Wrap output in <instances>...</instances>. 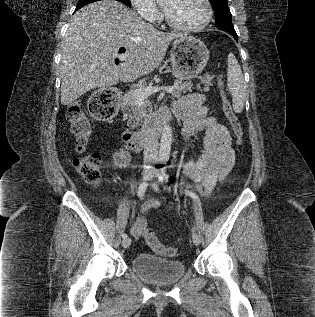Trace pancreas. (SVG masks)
<instances>
[{
    "label": "pancreas",
    "instance_id": "pancreas-1",
    "mask_svg": "<svg viewBox=\"0 0 315 317\" xmlns=\"http://www.w3.org/2000/svg\"><path fill=\"white\" fill-rule=\"evenodd\" d=\"M214 76H210L208 74L204 75V77H199L201 84H204V91L209 90V86L212 85ZM193 84L191 81L182 82V80L178 79L174 85V91L172 92V97H180L182 94H185L187 91H191ZM149 86H134L130 91H128L124 98L127 106L131 107V110L125 115L128 118V126L135 127L144 114L147 112L146 107L148 106L147 99L142 101V104H138V100L136 98L137 90H146ZM196 88L201 90L200 84L196 85ZM133 122V123H132Z\"/></svg>",
    "mask_w": 315,
    "mask_h": 317
}]
</instances>
